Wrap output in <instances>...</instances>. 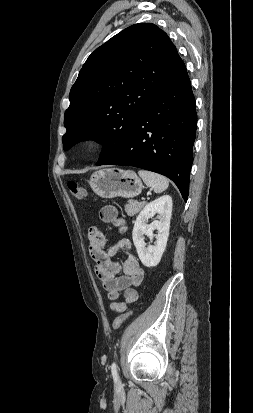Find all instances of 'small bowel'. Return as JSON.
Returning a JSON list of instances; mask_svg holds the SVG:
<instances>
[{"instance_id": "c3829d8e", "label": "small bowel", "mask_w": 253, "mask_h": 413, "mask_svg": "<svg viewBox=\"0 0 253 413\" xmlns=\"http://www.w3.org/2000/svg\"><path fill=\"white\" fill-rule=\"evenodd\" d=\"M100 219L113 225L121 234L127 227L123 218L118 216L116 207L107 205L100 210ZM89 254L94 261V269L102 286L111 301L110 308L116 312H124L130 303L138 299V287L144 279V271L138 259L132 254L133 245L128 237L121 238L116 244L106 248L107 238L99 226L88 230ZM118 252L124 253L122 263L113 260ZM123 293V301L118 299Z\"/></svg>"}]
</instances>
